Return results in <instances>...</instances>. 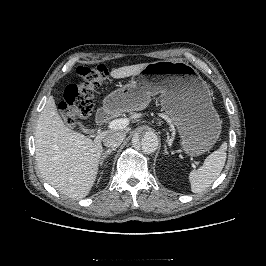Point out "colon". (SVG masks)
I'll use <instances>...</instances> for the list:
<instances>
[{
    "label": "colon",
    "instance_id": "1",
    "mask_svg": "<svg viewBox=\"0 0 266 266\" xmlns=\"http://www.w3.org/2000/svg\"><path fill=\"white\" fill-rule=\"evenodd\" d=\"M77 79L67 85L64 100L59 108L65 122L74 125L77 118L88 115L93 106L95 89L103 86L108 78L104 65H81L76 70Z\"/></svg>",
    "mask_w": 266,
    "mask_h": 266
}]
</instances>
